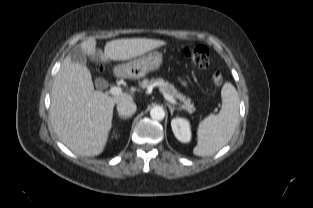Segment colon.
Instances as JSON below:
<instances>
[{
  "mask_svg": "<svg viewBox=\"0 0 313 208\" xmlns=\"http://www.w3.org/2000/svg\"><path fill=\"white\" fill-rule=\"evenodd\" d=\"M184 56L189 59L194 65L201 69H206L210 65V51L200 44L188 45L183 49ZM98 69H100L98 67ZM212 80L216 85H221L224 81L220 70H215L212 74Z\"/></svg>",
  "mask_w": 313,
  "mask_h": 208,
  "instance_id": "obj_1",
  "label": "colon"
}]
</instances>
